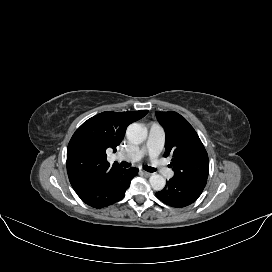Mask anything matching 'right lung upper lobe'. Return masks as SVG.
Instances as JSON below:
<instances>
[{"instance_id":"right-lung-upper-lobe-1","label":"right lung upper lobe","mask_w":272,"mask_h":272,"mask_svg":"<svg viewBox=\"0 0 272 272\" xmlns=\"http://www.w3.org/2000/svg\"><path fill=\"white\" fill-rule=\"evenodd\" d=\"M147 110L102 112L84 122L73 134L67 147V173L75 191L100 180L110 171L120 168L110 165L106 149L116 147L124 138L129 124L141 119Z\"/></svg>"}]
</instances>
